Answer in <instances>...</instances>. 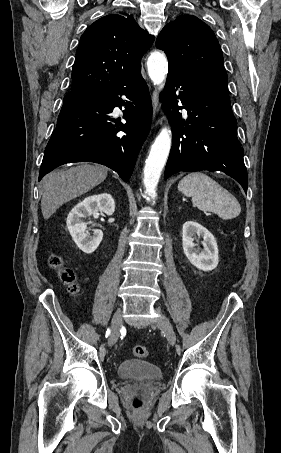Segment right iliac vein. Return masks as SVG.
Masks as SVG:
<instances>
[{"label":"right iliac vein","mask_w":281,"mask_h":453,"mask_svg":"<svg viewBox=\"0 0 281 453\" xmlns=\"http://www.w3.org/2000/svg\"><path fill=\"white\" fill-rule=\"evenodd\" d=\"M121 315H122V312L120 310H117L114 314V318L112 321V325L114 328H112V330H111L110 339H109V342L107 343V346L109 348H112V346H115L116 340L119 339V333H120V329H121L120 325H121V321H122Z\"/></svg>","instance_id":"63e3f726"}]
</instances>
